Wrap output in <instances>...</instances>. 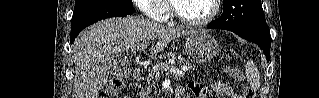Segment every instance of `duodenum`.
I'll return each instance as SVG.
<instances>
[{"instance_id": "obj_1", "label": "duodenum", "mask_w": 319, "mask_h": 98, "mask_svg": "<svg viewBox=\"0 0 319 98\" xmlns=\"http://www.w3.org/2000/svg\"><path fill=\"white\" fill-rule=\"evenodd\" d=\"M142 75V67L140 66H137L134 71H133V74H132V77L135 79V80H138L140 79ZM176 98H183L184 97V90L179 87L176 91Z\"/></svg>"}]
</instances>
